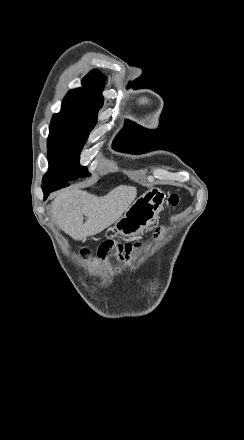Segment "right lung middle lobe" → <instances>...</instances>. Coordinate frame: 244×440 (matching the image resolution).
I'll use <instances>...</instances> for the list:
<instances>
[{
    "mask_svg": "<svg viewBox=\"0 0 244 440\" xmlns=\"http://www.w3.org/2000/svg\"><path fill=\"white\" fill-rule=\"evenodd\" d=\"M97 114L98 110L62 106L61 112L53 116L47 144L49 171L43 183L68 182L91 175L79 161L89 133L97 123Z\"/></svg>",
    "mask_w": 244,
    "mask_h": 440,
    "instance_id": "obj_1",
    "label": "right lung middle lobe"
}]
</instances>
